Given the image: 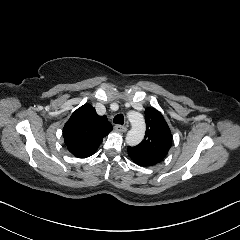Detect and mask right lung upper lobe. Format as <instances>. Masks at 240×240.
<instances>
[{"mask_svg":"<svg viewBox=\"0 0 240 240\" xmlns=\"http://www.w3.org/2000/svg\"><path fill=\"white\" fill-rule=\"evenodd\" d=\"M112 131L105 116L96 114L90 104L78 108L63 128L64 142L68 150L78 158L91 156L103 138Z\"/></svg>","mask_w":240,"mask_h":240,"instance_id":"1","label":"right lung upper lobe"}]
</instances>
